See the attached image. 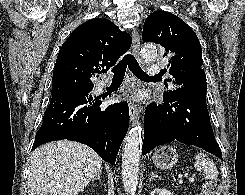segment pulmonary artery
Listing matches in <instances>:
<instances>
[{
	"label": "pulmonary artery",
	"mask_w": 245,
	"mask_h": 195,
	"mask_svg": "<svg viewBox=\"0 0 245 195\" xmlns=\"http://www.w3.org/2000/svg\"><path fill=\"white\" fill-rule=\"evenodd\" d=\"M157 64H152L151 65V68H150V72L152 73V74H154V73H157Z\"/></svg>",
	"instance_id": "e3ab8cb5"
}]
</instances>
